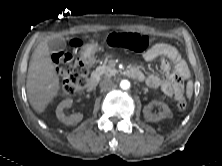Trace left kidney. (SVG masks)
<instances>
[{"instance_id": "obj_1", "label": "left kidney", "mask_w": 222, "mask_h": 166, "mask_svg": "<svg viewBox=\"0 0 222 166\" xmlns=\"http://www.w3.org/2000/svg\"><path fill=\"white\" fill-rule=\"evenodd\" d=\"M156 104L162 107V112L158 115H154L151 113V105ZM143 114L147 121L150 122H159L164 118H168L171 116V110L167 104L160 101H153L151 104H148L143 108Z\"/></svg>"}]
</instances>
